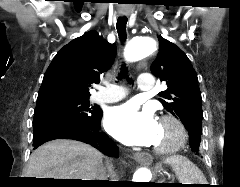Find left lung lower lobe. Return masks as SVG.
I'll use <instances>...</instances> for the list:
<instances>
[{"mask_svg":"<svg viewBox=\"0 0 240 187\" xmlns=\"http://www.w3.org/2000/svg\"><path fill=\"white\" fill-rule=\"evenodd\" d=\"M194 140H196V135H190V144L191 142H194Z\"/></svg>","mask_w":240,"mask_h":187,"instance_id":"obj_1","label":"left lung lower lobe"}]
</instances>
